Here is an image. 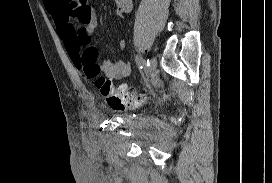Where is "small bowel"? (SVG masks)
I'll return each mask as SVG.
<instances>
[{
  "label": "small bowel",
  "mask_w": 272,
  "mask_h": 183,
  "mask_svg": "<svg viewBox=\"0 0 272 183\" xmlns=\"http://www.w3.org/2000/svg\"><path fill=\"white\" fill-rule=\"evenodd\" d=\"M44 6L52 15L59 37L71 56L75 66L80 69L83 49L90 44V36L97 25L94 8L87 0H43ZM118 15L132 10V0H115ZM125 41L119 42V48L125 49ZM101 71L110 79L122 80L132 73L130 64L123 61L105 60ZM126 88L125 85H122Z\"/></svg>",
  "instance_id": "small-bowel-1"
}]
</instances>
